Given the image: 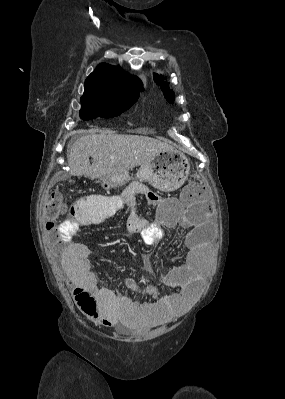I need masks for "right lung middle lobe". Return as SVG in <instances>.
I'll use <instances>...</instances> for the list:
<instances>
[{"label":"right lung middle lobe","mask_w":285,"mask_h":399,"mask_svg":"<svg viewBox=\"0 0 285 399\" xmlns=\"http://www.w3.org/2000/svg\"><path fill=\"white\" fill-rule=\"evenodd\" d=\"M139 98V95L120 96L102 99H81V119L87 121L97 117L112 118L119 116L132 106Z\"/></svg>","instance_id":"right-lung-middle-lobe-1"}]
</instances>
